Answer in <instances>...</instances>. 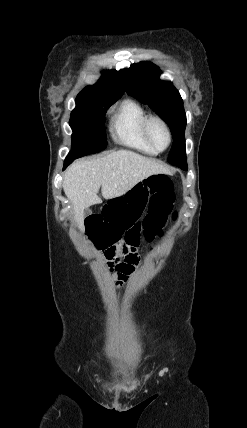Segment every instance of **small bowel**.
Segmentation results:
<instances>
[{"label": "small bowel", "instance_id": "obj_1", "mask_svg": "<svg viewBox=\"0 0 247 428\" xmlns=\"http://www.w3.org/2000/svg\"><path fill=\"white\" fill-rule=\"evenodd\" d=\"M136 264V260H130L121 250L118 251L116 262L112 266V269H115L118 273L120 279V282H118L119 287H122L124 282L127 281Z\"/></svg>", "mask_w": 247, "mask_h": 428}]
</instances>
